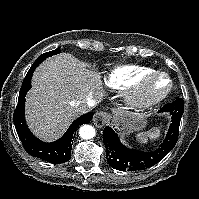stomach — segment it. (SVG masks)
I'll list each match as a JSON object with an SVG mask.
<instances>
[{
	"label": "stomach",
	"instance_id": "0dacf381",
	"mask_svg": "<svg viewBox=\"0 0 199 199\" xmlns=\"http://www.w3.org/2000/svg\"><path fill=\"white\" fill-rule=\"evenodd\" d=\"M117 115L122 119L123 134L142 130L147 124V115L139 110L122 108L118 110Z\"/></svg>",
	"mask_w": 199,
	"mask_h": 199
}]
</instances>
